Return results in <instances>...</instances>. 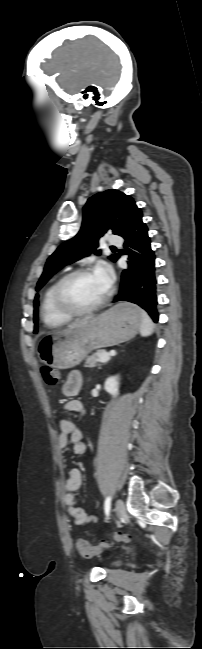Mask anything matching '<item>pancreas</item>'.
<instances>
[{
	"label": "pancreas",
	"mask_w": 202,
	"mask_h": 649,
	"mask_svg": "<svg viewBox=\"0 0 202 649\" xmlns=\"http://www.w3.org/2000/svg\"><path fill=\"white\" fill-rule=\"evenodd\" d=\"M101 353H107L109 354L106 350H99L94 356H91L88 358L85 362V367H95L100 361H99V355Z\"/></svg>",
	"instance_id": "cf45deb5"
}]
</instances>
